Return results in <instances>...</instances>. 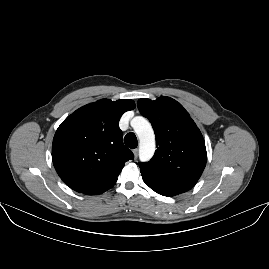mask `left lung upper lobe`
<instances>
[{
    "instance_id": "1",
    "label": "left lung upper lobe",
    "mask_w": 269,
    "mask_h": 269,
    "mask_svg": "<svg viewBox=\"0 0 269 269\" xmlns=\"http://www.w3.org/2000/svg\"><path fill=\"white\" fill-rule=\"evenodd\" d=\"M156 134L157 150L147 163H140L142 174L165 181L195 185L207 161L203 136L183 106L170 97L138 101Z\"/></svg>"
}]
</instances>
